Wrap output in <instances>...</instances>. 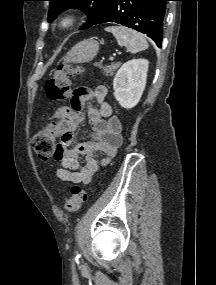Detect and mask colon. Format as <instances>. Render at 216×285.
<instances>
[{
    "label": "colon",
    "mask_w": 216,
    "mask_h": 285,
    "mask_svg": "<svg viewBox=\"0 0 216 285\" xmlns=\"http://www.w3.org/2000/svg\"><path fill=\"white\" fill-rule=\"evenodd\" d=\"M82 67L79 65L61 64L58 66L54 76L46 82L45 91L47 97L51 101H63L70 95V79L72 76L80 73ZM68 107L59 108L55 114V120L48 126L40 129L32 139V146L35 153L42 160H48L54 157L55 144V129L65 120ZM88 189L75 185L71 189V196L65 201V209L68 212L79 210L82 203L86 201Z\"/></svg>",
    "instance_id": "5ec220e1"
}]
</instances>
